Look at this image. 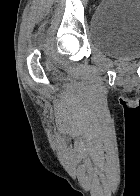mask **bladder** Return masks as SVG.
Segmentation results:
<instances>
[{
    "label": "bladder",
    "mask_w": 140,
    "mask_h": 196,
    "mask_svg": "<svg viewBox=\"0 0 140 196\" xmlns=\"http://www.w3.org/2000/svg\"><path fill=\"white\" fill-rule=\"evenodd\" d=\"M89 38L100 52L122 60L140 58V0H103L95 9Z\"/></svg>",
    "instance_id": "obj_1"
}]
</instances>
